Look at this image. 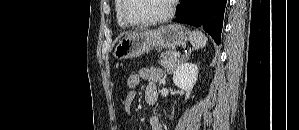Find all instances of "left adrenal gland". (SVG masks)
Segmentation results:
<instances>
[{"label": "left adrenal gland", "mask_w": 299, "mask_h": 130, "mask_svg": "<svg viewBox=\"0 0 299 130\" xmlns=\"http://www.w3.org/2000/svg\"><path fill=\"white\" fill-rule=\"evenodd\" d=\"M190 53L191 52H185V54L184 55H182V58H181V61H186V60H188L189 59V56H190ZM169 73V72H168ZM167 73V74H168ZM166 76V75H165Z\"/></svg>", "instance_id": "1"}]
</instances>
